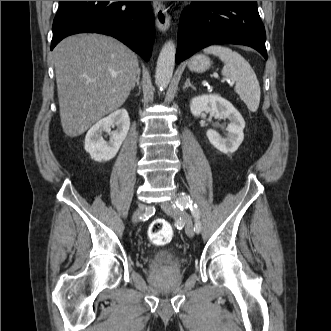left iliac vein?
<instances>
[{"label": "left iliac vein", "mask_w": 331, "mask_h": 331, "mask_svg": "<svg viewBox=\"0 0 331 331\" xmlns=\"http://www.w3.org/2000/svg\"><path fill=\"white\" fill-rule=\"evenodd\" d=\"M161 207L164 211L168 213L176 214L180 218H182L185 223L186 235L190 238L194 236L195 231H194L193 223L188 213H186L185 211H181L179 208H177L176 206L172 205L170 202L167 201L163 202L161 204Z\"/></svg>", "instance_id": "1"}]
</instances>
